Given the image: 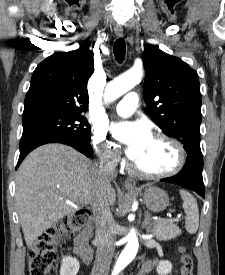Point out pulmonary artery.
<instances>
[{"label": "pulmonary artery", "instance_id": "e3ab8cb5", "mask_svg": "<svg viewBox=\"0 0 225 275\" xmlns=\"http://www.w3.org/2000/svg\"><path fill=\"white\" fill-rule=\"evenodd\" d=\"M139 97L136 92L127 93L115 106V112L120 116L131 115L138 107Z\"/></svg>", "mask_w": 225, "mask_h": 275}]
</instances>
